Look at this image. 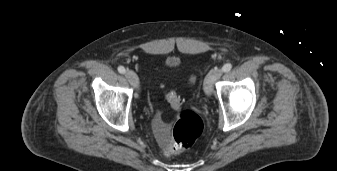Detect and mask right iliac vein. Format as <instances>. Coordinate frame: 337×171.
I'll return each instance as SVG.
<instances>
[{
	"label": "right iliac vein",
	"mask_w": 337,
	"mask_h": 171,
	"mask_svg": "<svg viewBox=\"0 0 337 171\" xmlns=\"http://www.w3.org/2000/svg\"><path fill=\"white\" fill-rule=\"evenodd\" d=\"M126 78L128 79L129 83L134 86L138 87L139 86V79L137 74L134 71L128 70L125 73Z\"/></svg>",
	"instance_id": "1"
}]
</instances>
